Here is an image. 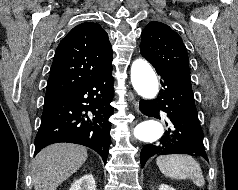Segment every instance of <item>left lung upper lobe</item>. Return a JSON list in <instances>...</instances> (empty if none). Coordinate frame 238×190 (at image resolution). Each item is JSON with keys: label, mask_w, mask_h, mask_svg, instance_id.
Returning a JSON list of instances; mask_svg holds the SVG:
<instances>
[{"label": "left lung upper lobe", "mask_w": 238, "mask_h": 190, "mask_svg": "<svg viewBox=\"0 0 238 190\" xmlns=\"http://www.w3.org/2000/svg\"><path fill=\"white\" fill-rule=\"evenodd\" d=\"M141 55L153 66L189 71L187 50L180 36L168 25L150 22L141 34Z\"/></svg>", "instance_id": "obj_1"}]
</instances>
